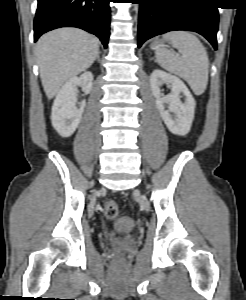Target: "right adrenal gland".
Here are the masks:
<instances>
[{
  "label": "right adrenal gland",
  "instance_id": "obj_1",
  "mask_svg": "<svg viewBox=\"0 0 246 300\" xmlns=\"http://www.w3.org/2000/svg\"><path fill=\"white\" fill-rule=\"evenodd\" d=\"M97 60L100 61V53L97 55Z\"/></svg>",
  "mask_w": 246,
  "mask_h": 300
}]
</instances>
